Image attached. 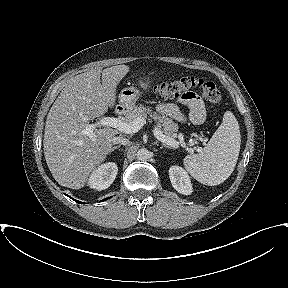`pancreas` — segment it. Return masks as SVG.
Wrapping results in <instances>:
<instances>
[{
	"mask_svg": "<svg viewBox=\"0 0 288 288\" xmlns=\"http://www.w3.org/2000/svg\"><path fill=\"white\" fill-rule=\"evenodd\" d=\"M148 115L155 121H158V127L164 135L171 138L177 137L176 132L178 131V124L174 123L170 118L158 115L156 112H153L150 108L144 107L143 105L135 106L126 114L123 121L129 123L138 117L145 119Z\"/></svg>",
	"mask_w": 288,
	"mask_h": 288,
	"instance_id": "1",
	"label": "pancreas"
}]
</instances>
